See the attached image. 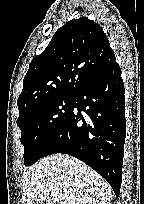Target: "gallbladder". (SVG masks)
<instances>
[{"label": "gallbladder", "mask_w": 144, "mask_h": 204, "mask_svg": "<svg viewBox=\"0 0 144 204\" xmlns=\"http://www.w3.org/2000/svg\"><path fill=\"white\" fill-rule=\"evenodd\" d=\"M34 204H44L43 200H37Z\"/></svg>", "instance_id": "obj_1"}]
</instances>
